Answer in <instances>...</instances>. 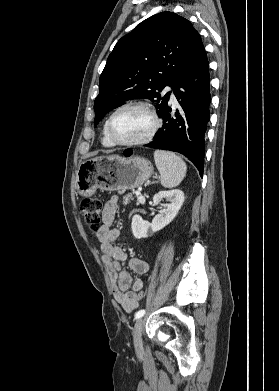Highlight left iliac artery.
<instances>
[{
	"label": "left iliac artery",
	"instance_id": "obj_1",
	"mask_svg": "<svg viewBox=\"0 0 279 391\" xmlns=\"http://www.w3.org/2000/svg\"><path fill=\"white\" fill-rule=\"evenodd\" d=\"M145 314V310H139L138 312L135 313V319L141 318Z\"/></svg>",
	"mask_w": 279,
	"mask_h": 391
}]
</instances>
